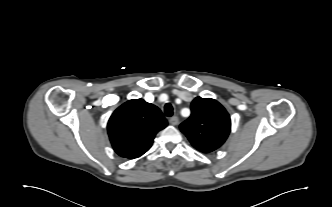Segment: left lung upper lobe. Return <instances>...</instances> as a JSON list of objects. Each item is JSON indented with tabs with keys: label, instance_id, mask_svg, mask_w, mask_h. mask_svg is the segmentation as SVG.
Returning <instances> with one entry per match:
<instances>
[{
	"label": "left lung upper lobe",
	"instance_id": "5c2ea615",
	"mask_svg": "<svg viewBox=\"0 0 332 207\" xmlns=\"http://www.w3.org/2000/svg\"><path fill=\"white\" fill-rule=\"evenodd\" d=\"M191 116L180 125L191 144L201 152L218 149L227 139L231 122L225 108L211 98L196 97L191 103Z\"/></svg>",
	"mask_w": 332,
	"mask_h": 207
}]
</instances>
